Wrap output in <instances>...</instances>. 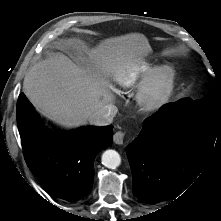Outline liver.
Returning a JSON list of instances; mask_svg holds the SVG:
<instances>
[{
  "mask_svg": "<svg viewBox=\"0 0 221 221\" xmlns=\"http://www.w3.org/2000/svg\"><path fill=\"white\" fill-rule=\"evenodd\" d=\"M148 50L147 39L139 33L106 39L85 51L96 64L95 72L79 67L64 54H53L29 69L23 92L55 122L65 127L85 125L95 111L114 100L105 76L136 62Z\"/></svg>",
  "mask_w": 221,
  "mask_h": 221,
  "instance_id": "obj_1",
  "label": "liver"
}]
</instances>
